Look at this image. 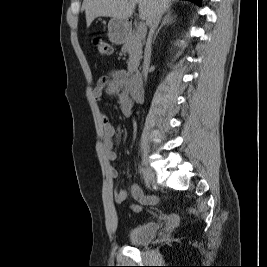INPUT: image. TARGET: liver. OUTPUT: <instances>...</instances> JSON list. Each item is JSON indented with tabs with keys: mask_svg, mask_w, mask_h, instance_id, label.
Masks as SVG:
<instances>
[{
	"mask_svg": "<svg viewBox=\"0 0 267 267\" xmlns=\"http://www.w3.org/2000/svg\"><path fill=\"white\" fill-rule=\"evenodd\" d=\"M172 0H84L87 27L97 17H112L127 20L134 12L136 4L139 7V18L150 26L151 20L158 12L163 14L171 7Z\"/></svg>",
	"mask_w": 267,
	"mask_h": 267,
	"instance_id": "obj_1",
	"label": "liver"
}]
</instances>
